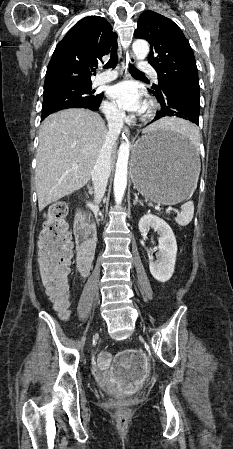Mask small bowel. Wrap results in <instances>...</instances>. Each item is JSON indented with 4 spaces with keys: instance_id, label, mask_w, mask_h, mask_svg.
<instances>
[{
    "instance_id": "c3829d8e",
    "label": "small bowel",
    "mask_w": 233,
    "mask_h": 449,
    "mask_svg": "<svg viewBox=\"0 0 233 449\" xmlns=\"http://www.w3.org/2000/svg\"><path fill=\"white\" fill-rule=\"evenodd\" d=\"M111 361V355L103 352L97 358V365L106 370L107 377H112V394H121L126 399L130 394H134V390H139L141 377L145 376L149 366L150 356L141 354L140 347H125L124 354L115 355L116 363Z\"/></svg>"
}]
</instances>
